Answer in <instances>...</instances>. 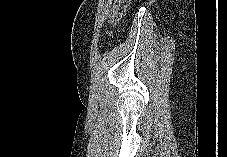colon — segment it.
Here are the masks:
<instances>
[{
  "instance_id": "1",
  "label": "colon",
  "mask_w": 227,
  "mask_h": 157,
  "mask_svg": "<svg viewBox=\"0 0 227 157\" xmlns=\"http://www.w3.org/2000/svg\"><path fill=\"white\" fill-rule=\"evenodd\" d=\"M130 0H115L114 10L109 19L110 26L115 25L125 14Z\"/></svg>"
}]
</instances>
